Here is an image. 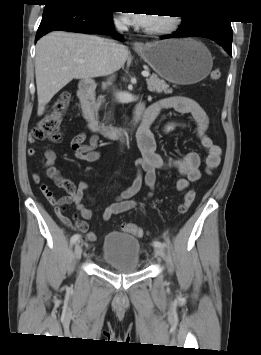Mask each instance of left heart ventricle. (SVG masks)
<instances>
[{
    "instance_id": "1",
    "label": "left heart ventricle",
    "mask_w": 261,
    "mask_h": 355,
    "mask_svg": "<svg viewBox=\"0 0 261 355\" xmlns=\"http://www.w3.org/2000/svg\"><path fill=\"white\" fill-rule=\"evenodd\" d=\"M166 16L158 15L157 17H153L148 28H155L158 27L166 22Z\"/></svg>"
}]
</instances>
